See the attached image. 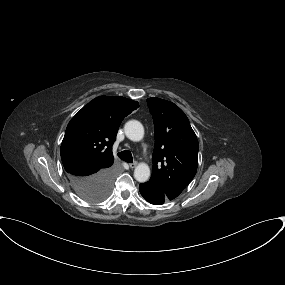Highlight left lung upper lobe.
<instances>
[{
	"label": "left lung upper lobe",
	"instance_id": "obj_1",
	"mask_svg": "<svg viewBox=\"0 0 285 285\" xmlns=\"http://www.w3.org/2000/svg\"><path fill=\"white\" fill-rule=\"evenodd\" d=\"M153 116L155 147L150 180L160 184L172 199L194 178L199 143L185 113L174 103L148 98Z\"/></svg>",
	"mask_w": 285,
	"mask_h": 285
}]
</instances>
